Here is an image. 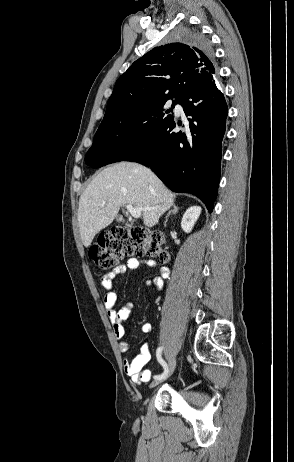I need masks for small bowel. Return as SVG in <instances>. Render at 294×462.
Returning a JSON list of instances; mask_svg holds the SVG:
<instances>
[{
	"instance_id": "obj_1",
	"label": "small bowel",
	"mask_w": 294,
	"mask_h": 462,
	"mask_svg": "<svg viewBox=\"0 0 294 462\" xmlns=\"http://www.w3.org/2000/svg\"><path fill=\"white\" fill-rule=\"evenodd\" d=\"M140 265L151 268L156 266V262L148 258H130L125 264L118 265L112 271L104 274L100 280V284L105 290L104 306L111 321L119 350L123 353L129 350V342L125 338L124 323L131 316L134 306L132 303H125L119 308H116L118 277L124 275L129 270L137 269ZM168 276L169 269L166 266H161L159 267L158 275L148 279L146 284L157 290H161L164 286V280L168 278ZM150 330L151 325L149 323H145L141 326V332L143 333H148ZM150 358L149 346L147 343H144L140 348V353L136 357L124 359L123 369L125 374L136 384L149 381L151 378V371L144 367L149 362Z\"/></svg>"
}]
</instances>
